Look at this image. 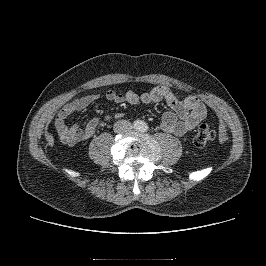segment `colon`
Returning a JSON list of instances; mask_svg holds the SVG:
<instances>
[{
    "label": "colon",
    "mask_w": 266,
    "mask_h": 266,
    "mask_svg": "<svg viewBox=\"0 0 266 266\" xmlns=\"http://www.w3.org/2000/svg\"><path fill=\"white\" fill-rule=\"evenodd\" d=\"M215 130L208 123H202L198 126L194 135V144L197 147H204L214 140Z\"/></svg>",
    "instance_id": "5ec220e1"
}]
</instances>
